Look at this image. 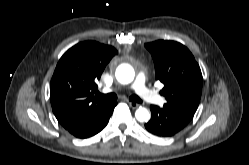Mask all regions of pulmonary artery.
<instances>
[{
    "label": "pulmonary artery",
    "instance_id": "e3ab8cb5",
    "mask_svg": "<svg viewBox=\"0 0 249 165\" xmlns=\"http://www.w3.org/2000/svg\"><path fill=\"white\" fill-rule=\"evenodd\" d=\"M130 88L146 102L154 104H162L163 102V99L158 94L146 87V78L142 73L137 75Z\"/></svg>",
    "mask_w": 249,
    "mask_h": 165
}]
</instances>
